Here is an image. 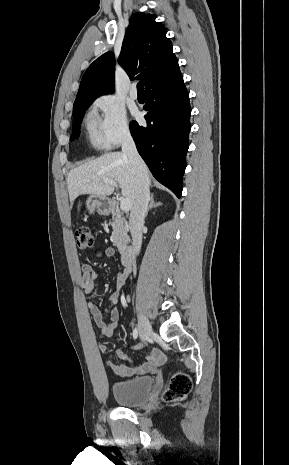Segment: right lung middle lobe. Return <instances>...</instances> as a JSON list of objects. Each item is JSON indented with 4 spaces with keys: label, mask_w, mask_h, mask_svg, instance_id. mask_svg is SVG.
<instances>
[{
    "label": "right lung middle lobe",
    "mask_w": 289,
    "mask_h": 465,
    "mask_svg": "<svg viewBox=\"0 0 289 465\" xmlns=\"http://www.w3.org/2000/svg\"><path fill=\"white\" fill-rule=\"evenodd\" d=\"M94 100H86L78 103H74L73 105V128H72V136L71 140L77 139L80 135L79 126L81 124L83 115L86 109L91 105Z\"/></svg>",
    "instance_id": "dd1d6c3e"
}]
</instances>
